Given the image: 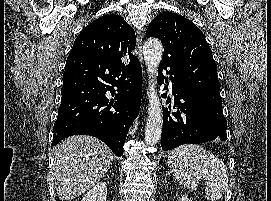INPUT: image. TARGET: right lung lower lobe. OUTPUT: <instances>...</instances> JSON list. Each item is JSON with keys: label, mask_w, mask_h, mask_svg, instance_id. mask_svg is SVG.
Listing matches in <instances>:
<instances>
[{"label": "right lung lower lobe", "mask_w": 271, "mask_h": 201, "mask_svg": "<svg viewBox=\"0 0 271 201\" xmlns=\"http://www.w3.org/2000/svg\"><path fill=\"white\" fill-rule=\"evenodd\" d=\"M141 88L138 59L123 63L86 54L69 55L52 145L68 136L90 135L121 156L128 130L140 110Z\"/></svg>", "instance_id": "right-lung-lower-lobe-1"}]
</instances>
